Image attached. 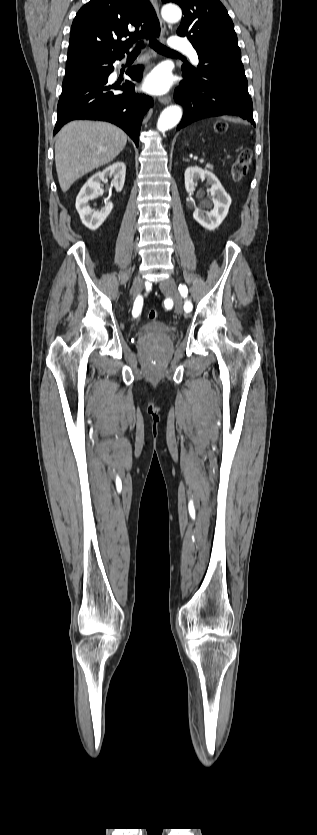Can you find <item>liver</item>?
I'll return each mask as SVG.
<instances>
[{
    "instance_id": "obj_1",
    "label": "liver",
    "mask_w": 317,
    "mask_h": 835,
    "mask_svg": "<svg viewBox=\"0 0 317 835\" xmlns=\"http://www.w3.org/2000/svg\"><path fill=\"white\" fill-rule=\"evenodd\" d=\"M126 133L107 122L73 121L57 134L55 164L61 190L67 192L84 174L115 159Z\"/></svg>"
}]
</instances>
